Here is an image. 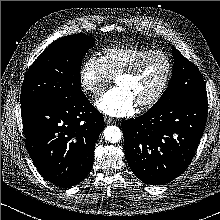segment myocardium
<instances>
[{
  "label": "myocardium",
  "instance_id": "myocardium-1",
  "mask_svg": "<svg viewBox=\"0 0 220 220\" xmlns=\"http://www.w3.org/2000/svg\"><path fill=\"white\" fill-rule=\"evenodd\" d=\"M152 57H160L162 58L166 63V74L164 77V80L159 87V89L156 91V93L148 100L141 102L138 104L140 109H149L153 106H155L164 96L165 92L168 89V86L170 84L172 74H173V63L169 55L162 51L153 50L150 51L144 55H142L140 58H138L135 62L132 63L131 66H129L127 69L123 70L117 75V78L120 77H134L136 76L139 71L142 69L144 64L147 60H149Z\"/></svg>",
  "mask_w": 220,
  "mask_h": 220
}]
</instances>
